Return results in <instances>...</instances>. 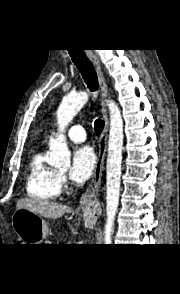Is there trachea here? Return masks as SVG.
<instances>
[{"label":"trachea","instance_id":"obj_1","mask_svg":"<svg viewBox=\"0 0 180 294\" xmlns=\"http://www.w3.org/2000/svg\"><path fill=\"white\" fill-rule=\"evenodd\" d=\"M74 64L77 66L79 71L81 72L85 83L87 84L90 91H97L98 89V81L96 72L90 60L86 57L83 49H75L73 51H68ZM104 121L101 119H97L94 122V130L97 135H100L104 128Z\"/></svg>","mask_w":180,"mask_h":294}]
</instances>
